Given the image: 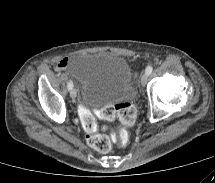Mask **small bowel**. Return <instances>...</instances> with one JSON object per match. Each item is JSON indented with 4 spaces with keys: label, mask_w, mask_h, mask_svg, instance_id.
I'll return each instance as SVG.
<instances>
[{
    "label": "small bowel",
    "mask_w": 215,
    "mask_h": 183,
    "mask_svg": "<svg viewBox=\"0 0 215 183\" xmlns=\"http://www.w3.org/2000/svg\"><path fill=\"white\" fill-rule=\"evenodd\" d=\"M71 62L70 58H63L60 61H58V63L56 64L55 68L58 71H61L63 69H65Z\"/></svg>",
    "instance_id": "c3829d8e"
}]
</instances>
